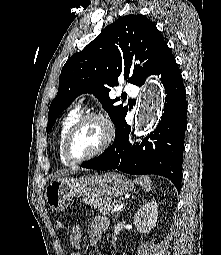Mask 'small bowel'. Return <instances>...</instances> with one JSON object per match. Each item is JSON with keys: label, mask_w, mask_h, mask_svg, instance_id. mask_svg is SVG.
Here are the masks:
<instances>
[{"label": "small bowel", "mask_w": 221, "mask_h": 255, "mask_svg": "<svg viewBox=\"0 0 221 255\" xmlns=\"http://www.w3.org/2000/svg\"><path fill=\"white\" fill-rule=\"evenodd\" d=\"M109 225L108 218L104 216H98L93 220L91 232L89 235V244L91 246H95L102 237V232ZM70 245L73 249L71 255H80L79 249L81 248L82 242V234L79 229L75 233H71L69 237Z\"/></svg>", "instance_id": "c3829d8e"}]
</instances>
